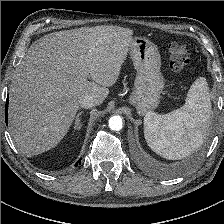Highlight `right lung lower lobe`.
<instances>
[{
  "label": "right lung lower lobe",
  "mask_w": 224,
  "mask_h": 224,
  "mask_svg": "<svg viewBox=\"0 0 224 224\" xmlns=\"http://www.w3.org/2000/svg\"><path fill=\"white\" fill-rule=\"evenodd\" d=\"M7 114H8V97H7L6 106H5L6 123H7ZM80 161H81V159H79V161L77 162V164H80Z\"/></svg>",
  "instance_id": "obj_1"
}]
</instances>
